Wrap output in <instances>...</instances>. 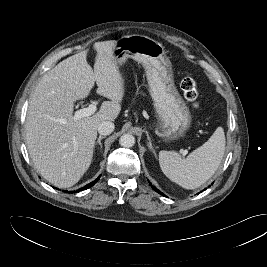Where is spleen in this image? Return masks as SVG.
Here are the masks:
<instances>
[{
	"instance_id": "1",
	"label": "spleen",
	"mask_w": 267,
	"mask_h": 267,
	"mask_svg": "<svg viewBox=\"0 0 267 267\" xmlns=\"http://www.w3.org/2000/svg\"><path fill=\"white\" fill-rule=\"evenodd\" d=\"M225 134L218 127L202 146L182 159L174 151H160L162 172L185 189H196L208 181L217 171L225 151Z\"/></svg>"
}]
</instances>
